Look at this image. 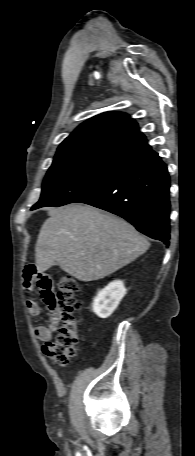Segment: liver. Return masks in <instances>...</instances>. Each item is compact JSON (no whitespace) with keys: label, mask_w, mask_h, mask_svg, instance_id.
Here are the masks:
<instances>
[{"label":"liver","mask_w":195,"mask_h":456,"mask_svg":"<svg viewBox=\"0 0 195 456\" xmlns=\"http://www.w3.org/2000/svg\"><path fill=\"white\" fill-rule=\"evenodd\" d=\"M150 246L125 220L89 205L54 209L36 243V267L53 265L84 282L102 279L134 261Z\"/></svg>","instance_id":"obj_1"}]
</instances>
